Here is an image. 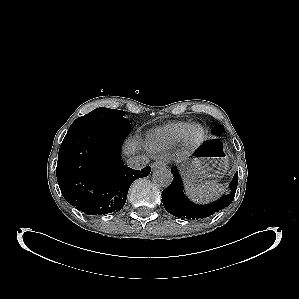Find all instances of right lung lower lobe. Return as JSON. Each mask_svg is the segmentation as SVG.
Returning a JSON list of instances; mask_svg holds the SVG:
<instances>
[{"label":"right lung lower lobe","mask_w":299,"mask_h":299,"mask_svg":"<svg viewBox=\"0 0 299 299\" xmlns=\"http://www.w3.org/2000/svg\"><path fill=\"white\" fill-rule=\"evenodd\" d=\"M126 123L69 129L60 146L57 181L65 200L88 215L121 210L130 185L150 174L123 164L120 146L130 132Z\"/></svg>","instance_id":"1"}]
</instances>
